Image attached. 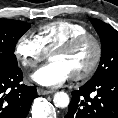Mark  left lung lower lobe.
<instances>
[{"mask_svg": "<svg viewBox=\"0 0 118 118\" xmlns=\"http://www.w3.org/2000/svg\"><path fill=\"white\" fill-rule=\"evenodd\" d=\"M92 92L94 97H90ZM65 118H118V75L88 81L73 91Z\"/></svg>", "mask_w": 118, "mask_h": 118, "instance_id": "0a47b994", "label": "left lung lower lobe"}]
</instances>
